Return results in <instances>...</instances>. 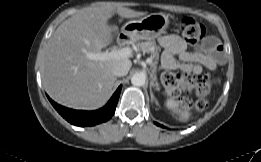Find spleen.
<instances>
[{
  "mask_svg": "<svg viewBox=\"0 0 261 162\" xmlns=\"http://www.w3.org/2000/svg\"><path fill=\"white\" fill-rule=\"evenodd\" d=\"M165 106L173 113L180 114L181 121H186L190 116V113L188 111L181 112V110L179 109V103L174 100V98L167 99L165 102Z\"/></svg>",
  "mask_w": 261,
  "mask_h": 162,
  "instance_id": "3e777b00",
  "label": "spleen"
}]
</instances>
